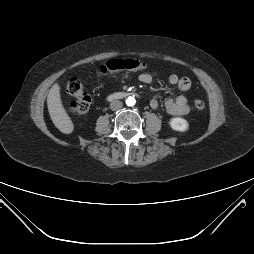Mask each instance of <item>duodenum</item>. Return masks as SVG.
Segmentation results:
<instances>
[{
	"label": "duodenum",
	"instance_id": "duodenum-1",
	"mask_svg": "<svg viewBox=\"0 0 254 254\" xmlns=\"http://www.w3.org/2000/svg\"><path fill=\"white\" fill-rule=\"evenodd\" d=\"M130 93L127 92H115L113 94H111L108 98L110 100H115V99H122L125 98L126 96H128Z\"/></svg>",
	"mask_w": 254,
	"mask_h": 254
}]
</instances>
